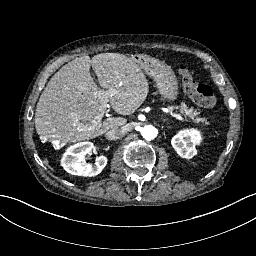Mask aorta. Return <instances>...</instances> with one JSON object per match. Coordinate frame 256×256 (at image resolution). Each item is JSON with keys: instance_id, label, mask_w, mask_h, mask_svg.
I'll return each instance as SVG.
<instances>
[{"instance_id": "aorta-1", "label": "aorta", "mask_w": 256, "mask_h": 256, "mask_svg": "<svg viewBox=\"0 0 256 256\" xmlns=\"http://www.w3.org/2000/svg\"><path fill=\"white\" fill-rule=\"evenodd\" d=\"M140 132L142 137L147 141L153 140L158 134V130L153 124H146L141 128Z\"/></svg>"}]
</instances>
